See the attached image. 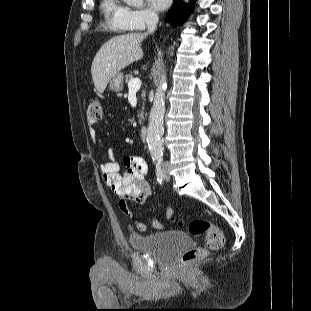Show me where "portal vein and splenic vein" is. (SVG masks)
<instances>
[{
  "mask_svg": "<svg viewBox=\"0 0 311 311\" xmlns=\"http://www.w3.org/2000/svg\"><path fill=\"white\" fill-rule=\"evenodd\" d=\"M141 87V80L139 78H133L128 83L129 90L137 91Z\"/></svg>",
  "mask_w": 311,
  "mask_h": 311,
  "instance_id": "portal-vein-and-splenic-vein-1",
  "label": "portal vein and splenic vein"
}]
</instances>
